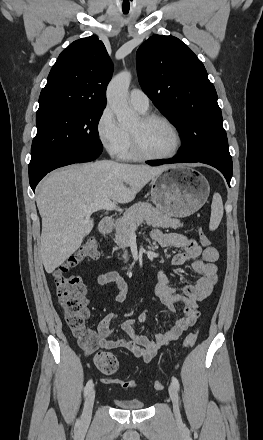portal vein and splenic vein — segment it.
<instances>
[{
  "label": "portal vein and splenic vein",
  "instance_id": "1",
  "mask_svg": "<svg viewBox=\"0 0 263 440\" xmlns=\"http://www.w3.org/2000/svg\"><path fill=\"white\" fill-rule=\"evenodd\" d=\"M116 207L117 205L115 202H112L110 199H104L102 201L93 203L91 205L84 206L83 210L85 211V213L92 214L93 212L101 209L107 211H113L116 209Z\"/></svg>",
  "mask_w": 263,
  "mask_h": 440
}]
</instances>
